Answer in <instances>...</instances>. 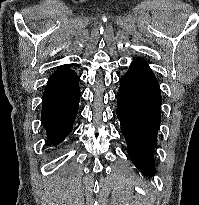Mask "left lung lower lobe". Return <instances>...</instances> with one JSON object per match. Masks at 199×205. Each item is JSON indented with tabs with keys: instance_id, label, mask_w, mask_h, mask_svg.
<instances>
[{
	"instance_id": "left-lung-lower-lobe-1",
	"label": "left lung lower lobe",
	"mask_w": 199,
	"mask_h": 205,
	"mask_svg": "<svg viewBox=\"0 0 199 205\" xmlns=\"http://www.w3.org/2000/svg\"><path fill=\"white\" fill-rule=\"evenodd\" d=\"M117 117L135 166L148 177L154 176L153 150L161 122V91L148 64L134 60L120 79Z\"/></svg>"
}]
</instances>
